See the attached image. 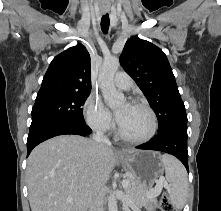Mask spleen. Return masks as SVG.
<instances>
[{
  "label": "spleen",
  "instance_id": "obj_1",
  "mask_svg": "<svg viewBox=\"0 0 221 211\" xmlns=\"http://www.w3.org/2000/svg\"><path fill=\"white\" fill-rule=\"evenodd\" d=\"M161 160L166 180L169 183V201L175 209H182L188 193L187 172L173 156L164 154L161 156Z\"/></svg>",
  "mask_w": 221,
  "mask_h": 211
}]
</instances>
